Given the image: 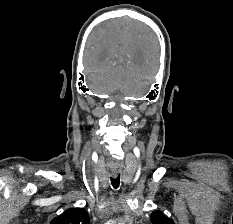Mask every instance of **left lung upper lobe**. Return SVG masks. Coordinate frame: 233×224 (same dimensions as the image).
I'll list each match as a JSON object with an SVG mask.
<instances>
[{
	"mask_svg": "<svg viewBox=\"0 0 233 224\" xmlns=\"http://www.w3.org/2000/svg\"><path fill=\"white\" fill-rule=\"evenodd\" d=\"M150 220L152 221L153 224H175L172 219L166 217L160 211L152 212Z\"/></svg>",
	"mask_w": 233,
	"mask_h": 224,
	"instance_id": "1",
	"label": "left lung upper lobe"
}]
</instances>
